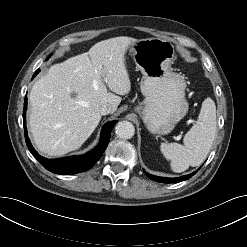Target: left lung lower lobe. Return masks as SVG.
Here are the masks:
<instances>
[{"label": "left lung lower lobe", "mask_w": 247, "mask_h": 247, "mask_svg": "<svg viewBox=\"0 0 247 247\" xmlns=\"http://www.w3.org/2000/svg\"><path fill=\"white\" fill-rule=\"evenodd\" d=\"M145 172V171H144ZM197 171L189 174V175H185V176H181V177H177V178H164V177H158V176H154V175H151L149 173H146L145 174L153 181H157V182H161V183H177V182H181V181H184V180H187L189 179L191 176L195 175Z\"/></svg>", "instance_id": "0a47b994"}]
</instances>
